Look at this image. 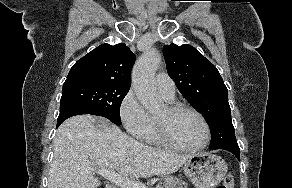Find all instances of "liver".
Returning a JSON list of instances; mask_svg holds the SVG:
<instances>
[{"mask_svg": "<svg viewBox=\"0 0 292 188\" xmlns=\"http://www.w3.org/2000/svg\"><path fill=\"white\" fill-rule=\"evenodd\" d=\"M53 146L48 188H97L96 169L135 178L171 174L192 157L140 143L107 119L92 115L64 121Z\"/></svg>", "mask_w": 292, "mask_h": 188, "instance_id": "obj_1", "label": "liver"}]
</instances>
